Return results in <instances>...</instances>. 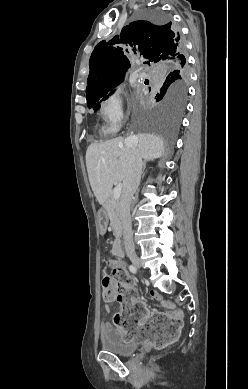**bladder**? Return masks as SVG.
<instances>
[{"label": "bladder", "instance_id": "1", "mask_svg": "<svg viewBox=\"0 0 248 389\" xmlns=\"http://www.w3.org/2000/svg\"><path fill=\"white\" fill-rule=\"evenodd\" d=\"M100 345L104 352L118 356H130L139 348V343L126 341L117 330H113L111 333L101 334Z\"/></svg>", "mask_w": 248, "mask_h": 389}]
</instances>
